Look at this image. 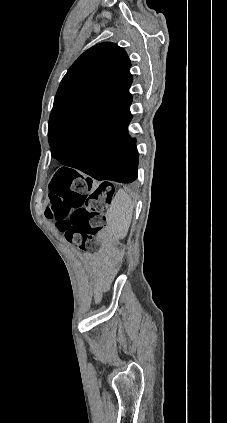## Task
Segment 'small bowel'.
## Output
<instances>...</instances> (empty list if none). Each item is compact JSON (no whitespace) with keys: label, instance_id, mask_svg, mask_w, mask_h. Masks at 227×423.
I'll list each match as a JSON object with an SVG mask.
<instances>
[{"label":"small bowel","instance_id":"small-bowel-1","mask_svg":"<svg viewBox=\"0 0 227 423\" xmlns=\"http://www.w3.org/2000/svg\"><path fill=\"white\" fill-rule=\"evenodd\" d=\"M91 258H93V259H94V257H91ZM113 271H114V266L112 265V266H110V267L108 268V270H106V271L103 273V280H107V279H109V277L112 275ZM95 297H96V300H97V301H98V300H100V294H99L98 292L96 293Z\"/></svg>","mask_w":227,"mask_h":423}]
</instances>
